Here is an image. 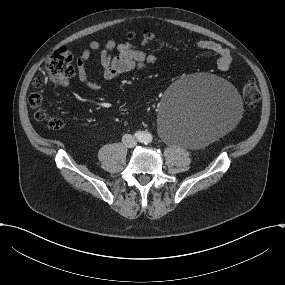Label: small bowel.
<instances>
[{
	"mask_svg": "<svg viewBox=\"0 0 285 285\" xmlns=\"http://www.w3.org/2000/svg\"><path fill=\"white\" fill-rule=\"evenodd\" d=\"M151 38H144L142 45H146ZM196 46L200 49L215 53L218 56L217 66L221 71H228L232 65L233 57L229 49L212 40H199ZM92 52L99 54V60L105 80H113L127 72L135 69H143L156 62V56L146 54L141 50L135 49L131 43H117L114 39H109L104 45L93 40L89 43L76 59L77 77L79 81L92 91H99L101 85L94 81L88 71V61ZM67 81L62 83L66 85Z\"/></svg>",
	"mask_w": 285,
	"mask_h": 285,
	"instance_id": "c3829d8e",
	"label": "small bowel"
}]
</instances>
